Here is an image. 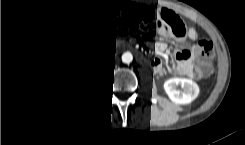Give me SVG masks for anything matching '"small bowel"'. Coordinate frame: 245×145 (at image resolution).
<instances>
[{
  "mask_svg": "<svg viewBox=\"0 0 245 145\" xmlns=\"http://www.w3.org/2000/svg\"><path fill=\"white\" fill-rule=\"evenodd\" d=\"M156 35L159 37H164L166 35V32L163 29H160L158 31H156ZM153 48H158V45H152ZM196 64H200V62L202 61V59L199 56H195L194 57Z\"/></svg>",
  "mask_w": 245,
  "mask_h": 145,
  "instance_id": "obj_1",
  "label": "small bowel"
}]
</instances>
